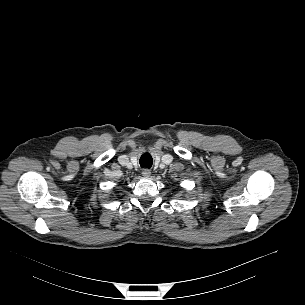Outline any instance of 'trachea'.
I'll use <instances>...</instances> for the list:
<instances>
[{
    "mask_svg": "<svg viewBox=\"0 0 305 305\" xmlns=\"http://www.w3.org/2000/svg\"><path fill=\"white\" fill-rule=\"evenodd\" d=\"M139 162H140L141 167H146V168H150L153 163L152 157L148 153H145L144 155H142Z\"/></svg>",
    "mask_w": 305,
    "mask_h": 305,
    "instance_id": "3493384b",
    "label": "trachea"
}]
</instances>
